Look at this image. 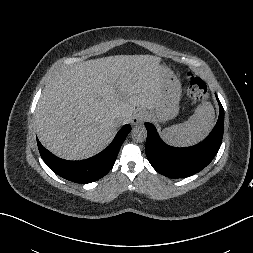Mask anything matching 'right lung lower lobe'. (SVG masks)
<instances>
[{"label":"right lung lower lobe","mask_w":253,"mask_h":253,"mask_svg":"<svg viewBox=\"0 0 253 253\" xmlns=\"http://www.w3.org/2000/svg\"><path fill=\"white\" fill-rule=\"evenodd\" d=\"M131 131L129 125L121 128L112 143L99 154L81 161L62 160L46 150L37 139L41 157L56 174L75 183H90L105 176L115 163L119 149Z\"/></svg>","instance_id":"1"}]
</instances>
